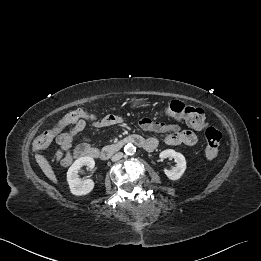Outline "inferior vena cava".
I'll return each instance as SVG.
<instances>
[{"label": "inferior vena cava", "instance_id": "obj_1", "mask_svg": "<svg viewBox=\"0 0 261 261\" xmlns=\"http://www.w3.org/2000/svg\"><path fill=\"white\" fill-rule=\"evenodd\" d=\"M122 157H123V153L119 152V153H116L115 155H113L111 160L113 162H116V161L120 160Z\"/></svg>", "mask_w": 261, "mask_h": 261}]
</instances>
